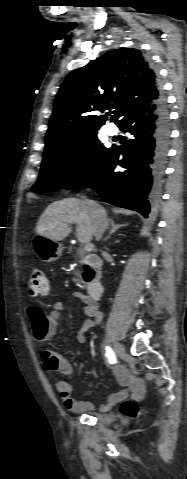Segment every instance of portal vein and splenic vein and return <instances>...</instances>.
<instances>
[{
    "label": "portal vein and splenic vein",
    "instance_id": "1",
    "mask_svg": "<svg viewBox=\"0 0 187 479\" xmlns=\"http://www.w3.org/2000/svg\"><path fill=\"white\" fill-rule=\"evenodd\" d=\"M85 250H86L87 252L92 251V250H93V245L90 244V243H87V244L85 245Z\"/></svg>",
    "mask_w": 187,
    "mask_h": 479
}]
</instances>
